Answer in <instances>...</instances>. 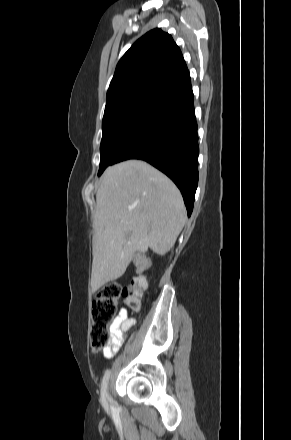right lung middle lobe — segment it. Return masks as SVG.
I'll return each mask as SVG.
<instances>
[{"label": "right lung middle lobe", "mask_w": 291, "mask_h": 440, "mask_svg": "<svg viewBox=\"0 0 291 440\" xmlns=\"http://www.w3.org/2000/svg\"><path fill=\"white\" fill-rule=\"evenodd\" d=\"M154 99L152 96H138L106 105L98 176L110 165L113 156L139 124Z\"/></svg>", "instance_id": "dd1d6c3e"}]
</instances>
